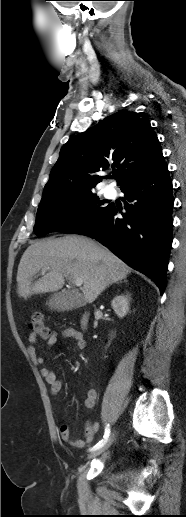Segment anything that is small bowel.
<instances>
[{"mask_svg":"<svg viewBox=\"0 0 186 517\" xmlns=\"http://www.w3.org/2000/svg\"><path fill=\"white\" fill-rule=\"evenodd\" d=\"M59 338H65V339H71L77 348L83 349L85 347V340L83 338V335L75 330L74 328H63L60 331H52L49 334L47 345L48 347H52L56 344L57 340ZM28 341L30 345L27 347V352L31 358L35 360L37 364H42L44 362V359L42 357L37 356L36 349H35V343H36V337L32 334L28 336ZM43 377L45 378L46 382L49 384L51 393L53 395H57L62 387H63V381L57 376V374L50 368V367H44L41 370ZM97 399V391L90 387L87 391L84 405L86 408H93L96 404ZM99 430V423L97 421L88 420L85 424V431H84V437L82 439H73L71 436L70 428L68 425L63 424L60 427V437L63 441L69 443L70 445L76 447V448H82L86 444L91 443L96 433Z\"/></svg>","mask_w":186,"mask_h":517,"instance_id":"1","label":"small bowel"}]
</instances>
